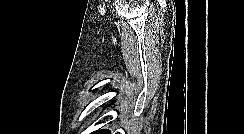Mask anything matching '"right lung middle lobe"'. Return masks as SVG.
Returning a JSON list of instances; mask_svg holds the SVG:
<instances>
[{"instance_id": "dd1d6c3e", "label": "right lung middle lobe", "mask_w": 244, "mask_h": 134, "mask_svg": "<svg viewBox=\"0 0 244 134\" xmlns=\"http://www.w3.org/2000/svg\"><path fill=\"white\" fill-rule=\"evenodd\" d=\"M91 134H110V131L109 130H98Z\"/></svg>"}]
</instances>
